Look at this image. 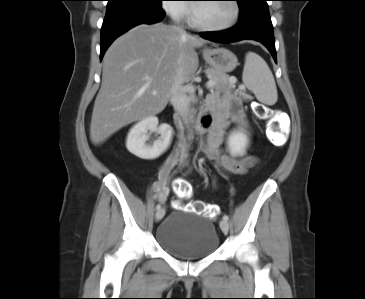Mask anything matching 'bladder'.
I'll return each mask as SVG.
<instances>
[{
  "label": "bladder",
  "mask_w": 365,
  "mask_h": 299,
  "mask_svg": "<svg viewBox=\"0 0 365 299\" xmlns=\"http://www.w3.org/2000/svg\"><path fill=\"white\" fill-rule=\"evenodd\" d=\"M156 243L167 253L180 259H200L219 247L214 221L198 213L174 210L158 226Z\"/></svg>",
  "instance_id": "1"
}]
</instances>
